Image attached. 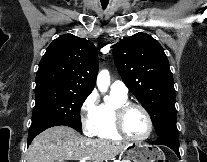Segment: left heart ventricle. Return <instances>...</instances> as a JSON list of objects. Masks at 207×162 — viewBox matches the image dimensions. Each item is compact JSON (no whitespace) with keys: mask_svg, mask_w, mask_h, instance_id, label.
I'll return each mask as SVG.
<instances>
[{"mask_svg":"<svg viewBox=\"0 0 207 162\" xmlns=\"http://www.w3.org/2000/svg\"><path fill=\"white\" fill-rule=\"evenodd\" d=\"M125 130L132 137H142L148 130V123L144 113L137 109H131L125 117Z\"/></svg>","mask_w":207,"mask_h":162,"instance_id":"1","label":"left heart ventricle"}]
</instances>
